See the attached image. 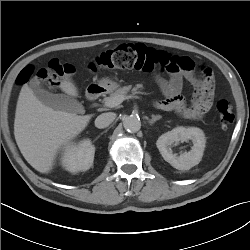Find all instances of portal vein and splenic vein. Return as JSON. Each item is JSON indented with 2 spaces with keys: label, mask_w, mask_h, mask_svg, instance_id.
Returning <instances> with one entry per match:
<instances>
[{
  "label": "portal vein and splenic vein",
  "mask_w": 250,
  "mask_h": 250,
  "mask_svg": "<svg viewBox=\"0 0 250 250\" xmlns=\"http://www.w3.org/2000/svg\"><path fill=\"white\" fill-rule=\"evenodd\" d=\"M131 98H132V96H127V97L117 96V97H114V98L108 100L107 102H105V106L109 107V108H114V107L120 105L124 100L131 99Z\"/></svg>",
  "instance_id": "obj_1"
}]
</instances>
